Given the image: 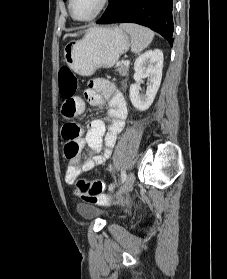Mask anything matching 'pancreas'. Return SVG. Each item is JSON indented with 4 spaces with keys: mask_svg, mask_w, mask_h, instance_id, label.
<instances>
[{
    "mask_svg": "<svg viewBox=\"0 0 227 279\" xmlns=\"http://www.w3.org/2000/svg\"><path fill=\"white\" fill-rule=\"evenodd\" d=\"M116 71H118L121 76H126L128 75L129 65L120 64L117 67Z\"/></svg>",
    "mask_w": 227,
    "mask_h": 279,
    "instance_id": "pancreas-1",
    "label": "pancreas"
}]
</instances>
